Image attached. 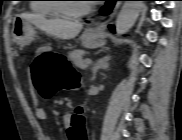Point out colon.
<instances>
[{
  "instance_id": "5ec220e1",
  "label": "colon",
  "mask_w": 182,
  "mask_h": 140,
  "mask_svg": "<svg viewBox=\"0 0 182 140\" xmlns=\"http://www.w3.org/2000/svg\"><path fill=\"white\" fill-rule=\"evenodd\" d=\"M31 76L36 92L51 98L60 90L79 87V78L67 58L63 56H38L31 65ZM68 140H88L87 115L84 105L76 107L67 127Z\"/></svg>"
}]
</instances>
